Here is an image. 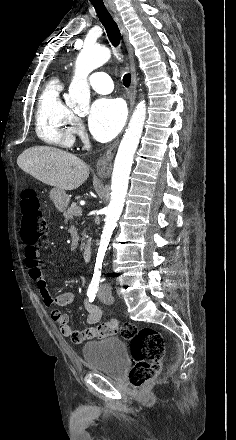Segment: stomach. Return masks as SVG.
Here are the masks:
<instances>
[{"mask_svg":"<svg viewBox=\"0 0 236 440\" xmlns=\"http://www.w3.org/2000/svg\"><path fill=\"white\" fill-rule=\"evenodd\" d=\"M50 198L58 211L63 212L68 207L69 197L64 190L56 188L52 189L50 192Z\"/></svg>","mask_w":236,"mask_h":440,"instance_id":"obj_1","label":"stomach"}]
</instances>
